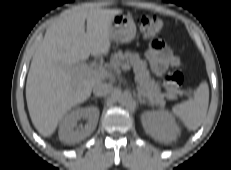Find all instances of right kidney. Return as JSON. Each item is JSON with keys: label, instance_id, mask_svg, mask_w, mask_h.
Listing matches in <instances>:
<instances>
[{"label": "right kidney", "instance_id": "obj_1", "mask_svg": "<svg viewBox=\"0 0 231 170\" xmlns=\"http://www.w3.org/2000/svg\"><path fill=\"white\" fill-rule=\"evenodd\" d=\"M97 107L77 108L68 113L60 123L59 139L67 144H75L85 139L95 130L99 118ZM81 118L87 120L84 127L76 128Z\"/></svg>", "mask_w": 231, "mask_h": 170}]
</instances>
